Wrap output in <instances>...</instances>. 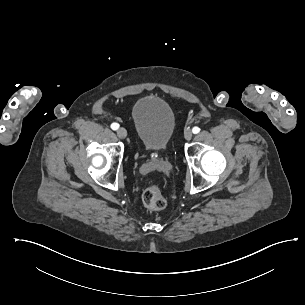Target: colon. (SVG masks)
<instances>
[{"label":"colon","instance_id":"5ec220e1","mask_svg":"<svg viewBox=\"0 0 305 305\" xmlns=\"http://www.w3.org/2000/svg\"><path fill=\"white\" fill-rule=\"evenodd\" d=\"M142 202L149 211L163 210L167 204L165 196L153 186L148 187L143 192Z\"/></svg>","mask_w":305,"mask_h":305}]
</instances>
